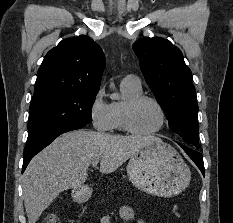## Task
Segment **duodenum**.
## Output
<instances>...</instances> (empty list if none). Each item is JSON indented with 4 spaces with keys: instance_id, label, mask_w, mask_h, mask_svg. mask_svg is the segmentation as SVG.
<instances>
[{
    "instance_id": "1",
    "label": "duodenum",
    "mask_w": 233,
    "mask_h": 223,
    "mask_svg": "<svg viewBox=\"0 0 233 223\" xmlns=\"http://www.w3.org/2000/svg\"><path fill=\"white\" fill-rule=\"evenodd\" d=\"M89 197H90V193L85 189H80L76 191L74 194L75 200L79 203H85L89 199Z\"/></svg>"
}]
</instances>
